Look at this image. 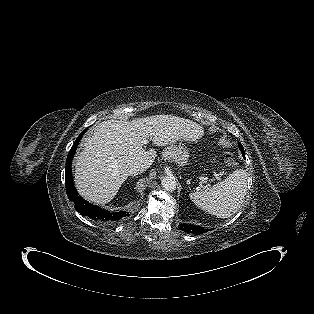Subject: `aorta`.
Instances as JSON below:
<instances>
[{
  "label": "aorta",
  "instance_id": "obj_1",
  "mask_svg": "<svg viewBox=\"0 0 314 314\" xmlns=\"http://www.w3.org/2000/svg\"><path fill=\"white\" fill-rule=\"evenodd\" d=\"M161 185L162 187L166 190V191H174L176 189V180L173 176H165L163 177L162 181H161Z\"/></svg>",
  "mask_w": 314,
  "mask_h": 314
}]
</instances>
